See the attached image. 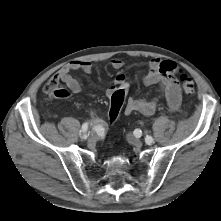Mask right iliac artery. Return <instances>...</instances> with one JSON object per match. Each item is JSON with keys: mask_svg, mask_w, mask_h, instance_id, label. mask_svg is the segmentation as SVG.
I'll return each instance as SVG.
<instances>
[{"mask_svg": "<svg viewBox=\"0 0 221 221\" xmlns=\"http://www.w3.org/2000/svg\"><path fill=\"white\" fill-rule=\"evenodd\" d=\"M87 130H88V123H84L82 125V130H81V134H80L81 139L87 138Z\"/></svg>", "mask_w": 221, "mask_h": 221, "instance_id": "1", "label": "right iliac artery"}]
</instances>
